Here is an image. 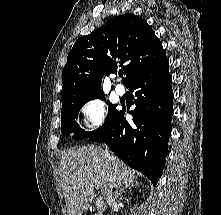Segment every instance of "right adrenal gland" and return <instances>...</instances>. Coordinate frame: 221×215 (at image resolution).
<instances>
[{"mask_svg":"<svg viewBox=\"0 0 221 215\" xmlns=\"http://www.w3.org/2000/svg\"><path fill=\"white\" fill-rule=\"evenodd\" d=\"M136 186H139V183L137 181H131L129 182V184L125 185V186H119L117 187L116 189V198H119L122 196V193L125 191V190H131V188H134Z\"/></svg>","mask_w":221,"mask_h":215,"instance_id":"obj_1","label":"right adrenal gland"}]
</instances>
